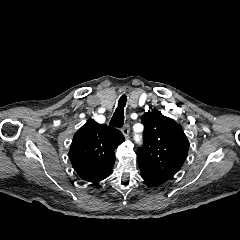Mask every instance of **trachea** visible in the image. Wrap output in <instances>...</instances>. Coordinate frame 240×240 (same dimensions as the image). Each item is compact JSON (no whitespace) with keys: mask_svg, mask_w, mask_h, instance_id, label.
Here are the masks:
<instances>
[{"mask_svg":"<svg viewBox=\"0 0 240 240\" xmlns=\"http://www.w3.org/2000/svg\"><path fill=\"white\" fill-rule=\"evenodd\" d=\"M127 98L125 95L121 96L118 103V108L116 109L113 117L110 120V125L113 127L121 128L124 125V106L126 104Z\"/></svg>","mask_w":240,"mask_h":240,"instance_id":"3493384b","label":"trachea"}]
</instances>
